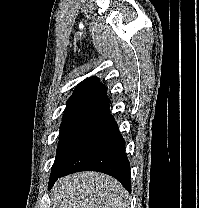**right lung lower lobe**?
Returning a JSON list of instances; mask_svg holds the SVG:
<instances>
[{
    "label": "right lung lower lobe",
    "instance_id": "1",
    "mask_svg": "<svg viewBox=\"0 0 199 208\" xmlns=\"http://www.w3.org/2000/svg\"><path fill=\"white\" fill-rule=\"evenodd\" d=\"M86 170L111 175L131 192L130 163L125 155V141L109 112V105L102 108L91 123L72 158L50 178L48 188L51 189L60 177Z\"/></svg>",
    "mask_w": 199,
    "mask_h": 208
}]
</instances>
